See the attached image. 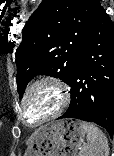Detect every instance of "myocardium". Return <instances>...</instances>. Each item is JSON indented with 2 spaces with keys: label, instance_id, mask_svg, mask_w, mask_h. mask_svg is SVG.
<instances>
[{
  "label": "myocardium",
  "instance_id": "1",
  "mask_svg": "<svg viewBox=\"0 0 114 156\" xmlns=\"http://www.w3.org/2000/svg\"><path fill=\"white\" fill-rule=\"evenodd\" d=\"M41 85H48L56 91L58 96L57 106L51 113L47 114L46 116L34 122H30L27 117L26 103L31 93ZM69 103H70V92L67 85L63 81L51 75H44L38 77L26 87L24 93L20 98V110L22 120L28 127H36L44 122H47L51 119L58 117L68 107Z\"/></svg>",
  "mask_w": 114,
  "mask_h": 156
}]
</instances>
